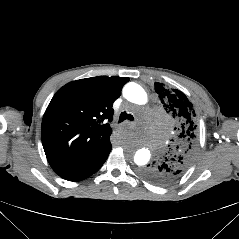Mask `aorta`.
Returning <instances> with one entry per match:
<instances>
[{
  "label": "aorta",
  "mask_w": 239,
  "mask_h": 239,
  "mask_svg": "<svg viewBox=\"0 0 239 239\" xmlns=\"http://www.w3.org/2000/svg\"><path fill=\"white\" fill-rule=\"evenodd\" d=\"M123 96L128 101L138 105H143L147 102V94L145 90L140 85L133 82L125 85L123 88ZM133 153V161L139 167L145 166L150 161L152 155L149 146L141 148L136 146L133 148Z\"/></svg>",
  "instance_id": "aorta-1"
}]
</instances>
